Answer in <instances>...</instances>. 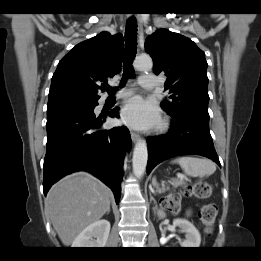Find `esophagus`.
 <instances>
[{"label": "esophagus", "mask_w": 261, "mask_h": 261, "mask_svg": "<svg viewBox=\"0 0 261 261\" xmlns=\"http://www.w3.org/2000/svg\"><path fill=\"white\" fill-rule=\"evenodd\" d=\"M130 136L133 142H136L139 140V135L137 133H135L134 131H130Z\"/></svg>", "instance_id": "esophagus-1"}]
</instances>
